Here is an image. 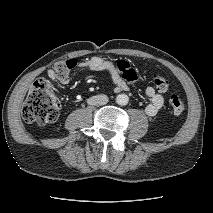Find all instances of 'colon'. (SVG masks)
<instances>
[{
    "instance_id": "colon-1",
    "label": "colon",
    "mask_w": 213,
    "mask_h": 213,
    "mask_svg": "<svg viewBox=\"0 0 213 213\" xmlns=\"http://www.w3.org/2000/svg\"><path fill=\"white\" fill-rule=\"evenodd\" d=\"M75 59L57 62L53 69L58 76H64L75 67ZM130 65L121 61L117 64V71L123 75L128 74ZM154 84L159 92L167 91L168 79L162 74L153 75ZM171 112L175 116L181 115L185 110L184 100L177 94L169 98ZM60 102L54 94L51 83L44 78L37 79L31 86L22 108V117L28 123L46 125L54 122L60 113Z\"/></svg>"
}]
</instances>
